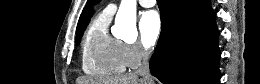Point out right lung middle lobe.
Listing matches in <instances>:
<instances>
[{
  "mask_svg": "<svg viewBox=\"0 0 260 84\" xmlns=\"http://www.w3.org/2000/svg\"><path fill=\"white\" fill-rule=\"evenodd\" d=\"M82 34H83V31L77 33V36H76V45H78V44L80 43V39H81Z\"/></svg>",
  "mask_w": 260,
  "mask_h": 84,
  "instance_id": "1",
  "label": "right lung middle lobe"
}]
</instances>
